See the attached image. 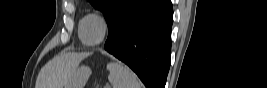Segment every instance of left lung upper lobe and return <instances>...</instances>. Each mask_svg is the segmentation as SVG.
Here are the masks:
<instances>
[{
    "label": "left lung upper lobe",
    "instance_id": "5c2ea615",
    "mask_svg": "<svg viewBox=\"0 0 267 88\" xmlns=\"http://www.w3.org/2000/svg\"><path fill=\"white\" fill-rule=\"evenodd\" d=\"M96 9L103 12L108 28L110 29L120 14L134 0H88Z\"/></svg>",
    "mask_w": 267,
    "mask_h": 88
}]
</instances>
